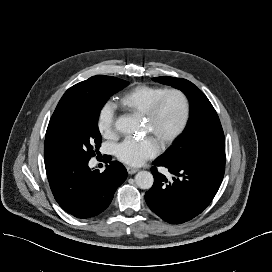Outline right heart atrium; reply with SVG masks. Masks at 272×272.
Returning a JSON list of instances; mask_svg holds the SVG:
<instances>
[{"mask_svg":"<svg viewBox=\"0 0 272 272\" xmlns=\"http://www.w3.org/2000/svg\"><path fill=\"white\" fill-rule=\"evenodd\" d=\"M115 106L111 101L105 102L97 115V129L105 138H112L115 135Z\"/></svg>","mask_w":272,"mask_h":272,"instance_id":"obj_1","label":"right heart atrium"}]
</instances>
